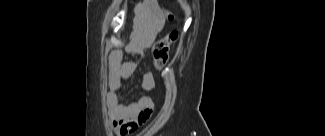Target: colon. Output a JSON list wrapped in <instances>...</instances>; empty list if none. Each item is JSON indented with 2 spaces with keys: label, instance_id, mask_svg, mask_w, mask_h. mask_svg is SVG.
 I'll return each mask as SVG.
<instances>
[{
  "label": "colon",
  "instance_id": "1",
  "mask_svg": "<svg viewBox=\"0 0 325 136\" xmlns=\"http://www.w3.org/2000/svg\"><path fill=\"white\" fill-rule=\"evenodd\" d=\"M178 32L172 31L158 40L153 47V61L157 69H162L169 58L170 47L177 39Z\"/></svg>",
  "mask_w": 325,
  "mask_h": 136
}]
</instances>
